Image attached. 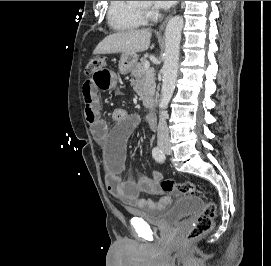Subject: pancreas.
<instances>
[{
    "label": "pancreas",
    "instance_id": "pancreas-1",
    "mask_svg": "<svg viewBox=\"0 0 271 266\" xmlns=\"http://www.w3.org/2000/svg\"><path fill=\"white\" fill-rule=\"evenodd\" d=\"M145 62L147 59L141 58L140 62L131 70V76L136 78V81L132 82L134 90L142 98L152 95L156 86L154 69H144Z\"/></svg>",
    "mask_w": 271,
    "mask_h": 266
}]
</instances>
